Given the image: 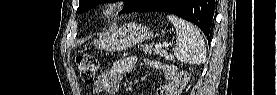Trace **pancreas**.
<instances>
[{"label":"pancreas","mask_w":277,"mask_h":95,"mask_svg":"<svg viewBox=\"0 0 277 95\" xmlns=\"http://www.w3.org/2000/svg\"><path fill=\"white\" fill-rule=\"evenodd\" d=\"M143 51L145 54L160 55L161 57H164L166 60H174V56L172 54H169L167 51L161 50L159 48H153V45L144 46Z\"/></svg>","instance_id":"cf45deb5"}]
</instances>
